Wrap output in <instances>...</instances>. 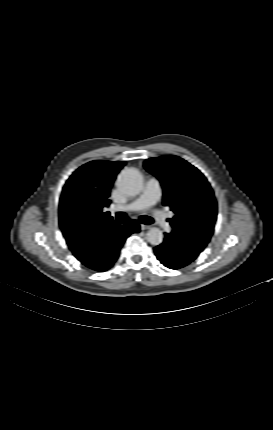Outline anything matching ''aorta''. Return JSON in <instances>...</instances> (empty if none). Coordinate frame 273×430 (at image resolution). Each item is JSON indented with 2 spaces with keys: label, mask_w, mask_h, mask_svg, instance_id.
I'll return each instance as SVG.
<instances>
[{
  "label": "aorta",
  "mask_w": 273,
  "mask_h": 430,
  "mask_svg": "<svg viewBox=\"0 0 273 430\" xmlns=\"http://www.w3.org/2000/svg\"><path fill=\"white\" fill-rule=\"evenodd\" d=\"M117 188L128 196H136L142 189L143 176L133 168L123 170L116 181ZM146 238L148 242L154 246L160 245L163 242V233L159 228H151Z\"/></svg>",
  "instance_id": "aorta-1"
}]
</instances>
